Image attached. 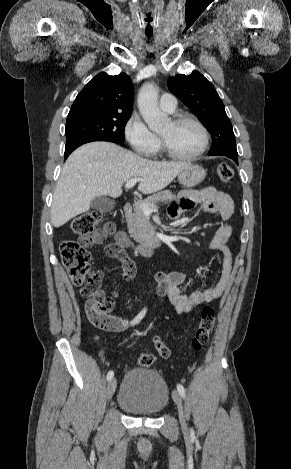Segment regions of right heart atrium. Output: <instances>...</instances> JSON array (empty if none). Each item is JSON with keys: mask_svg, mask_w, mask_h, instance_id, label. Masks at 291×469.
<instances>
[{"mask_svg": "<svg viewBox=\"0 0 291 469\" xmlns=\"http://www.w3.org/2000/svg\"><path fill=\"white\" fill-rule=\"evenodd\" d=\"M124 135L132 149L142 156H151L159 148L160 141L138 115H132L125 127Z\"/></svg>", "mask_w": 291, "mask_h": 469, "instance_id": "obj_1", "label": "right heart atrium"}]
</instances>
